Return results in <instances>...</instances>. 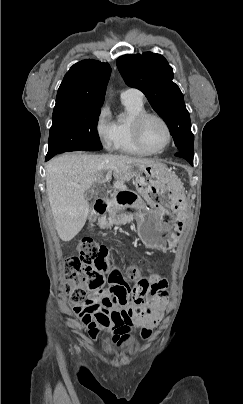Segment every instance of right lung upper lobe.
<instances>
[{"instance_id":"1","label":"right lung upper lobe","mask_w":243,"mask_h":404,"mask_svg":"<svg viewBox=\"0 0 243 404\" xmlns=\"http://www.w3.org/2000/svg\"><path fill=\"white\" fill-rule=\"evenodd\" d=\"M111 68L107 63L83 60L66 73L57 92L54 108L101 107Z\"/></svg>"}]
</instances>
